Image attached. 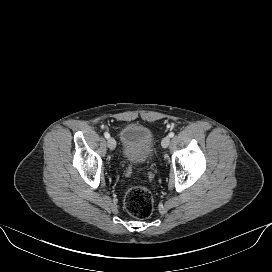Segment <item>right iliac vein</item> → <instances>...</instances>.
Listing matches in <instances>:
<instances>
[{"mask_svg": "<svg viewBox=\"0 0 272 272\" xmlns=\"http://www.w3.org/2000/svg\"><path fill=\"white\" fill-rule=\"evenodd\" d=\"M107 144H108V147H109L110 150H114L115 147H116V141H115V139L112 138V137H110V138L108 139Z\"/></svg>", "mask_w": 272, "mask_h": 272, "instance_id": "1", "label": "right iliac vein"}]
</instances>
